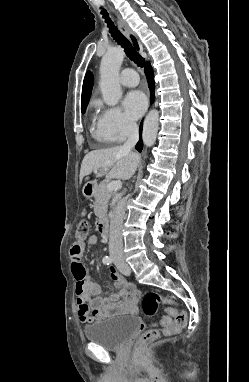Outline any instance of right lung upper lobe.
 <instances>
[{"instance_id": "obj_1", "label": "right lung upper lobe", "mask_w": 249, "mask_h": 382, "mask_svg": "<svg viewBox=\"0 0 249 382\" xmlns=\"http://www.w3.org/2000/svg\"><path fill=\"white\" fill-rule=\"evenodd\" d=\"M132 40L134 41L135 46L138 48L134 37H132ZM92 86H93V75L91 72L88 71L85 75L84 82H83L81 110H86L87 104L91 96Z\"/></svg>"}]
</instances>
